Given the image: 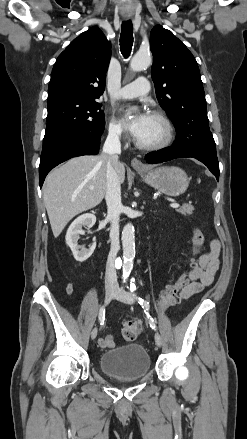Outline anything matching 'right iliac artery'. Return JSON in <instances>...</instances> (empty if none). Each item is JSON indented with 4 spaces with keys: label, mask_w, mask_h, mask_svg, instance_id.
<instances>
[{
    "label": "right iliac artery",
    "mask_w": 247,
    "mask_h": 439,
    "mask_svg": "<svg viewBox=\"0 0 247 439\" xmlns=\"http://www.w3.org/2000/svg\"><path fill=\"white\" fill-rule=\"evenodd\" d=\"M105 319V308L101 307L99 312V321H104Z\"/></svg>",
    "instance_id": "1"
}]
</instances>
